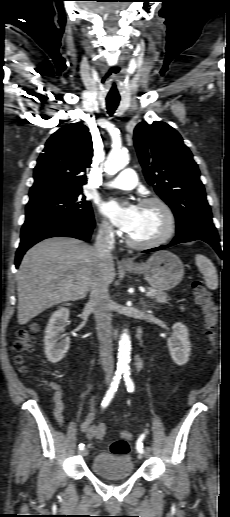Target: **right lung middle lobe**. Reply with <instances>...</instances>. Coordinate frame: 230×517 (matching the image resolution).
I'll return each instance as SVG.
<instances>
[{"label": "right lung middle lobe", "instance_id": "dd1d6c3e", "mask_svg": "<svg viewBox=\"0 0 230 517\" xmlns=\"http://www.w3.org/2000/svg\"><path fill=\"white\" fill-rule=\"evenodd\" d=\"M81 194L82 190H77L29 200L26 206V219L45 215L92 217L91 204Z\"/></svg>", "mask_w": 230, "mask_h": 517}]
</instances>
